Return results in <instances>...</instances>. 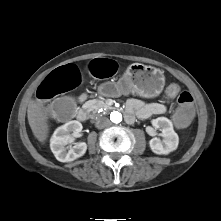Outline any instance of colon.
Wrapping results in <instances>:
<instances>
[{"instance_id": "colon-1", "label": "colon", "mask_w": 221, "mask_h": 221, "mask_svg": "<svg viewBox=\"0 0 221 221\" xmlns=\"http://www.w3.org/2000/svg\"><path fill=\"white\" fill-rule=\"evenodd\" d=\"M91 73L98 78L111 76L116 71V63L110 59L96 60L90 64ZM81 83V73L77 67L67 65L50 73L37 89L40 100H50L75 89ZM164 96L173 102L178 98V109L174 121L180 127L187 126L195 117L193 98L188 92H181L178 84H170ZM79 102L72 95H64L55 99L53 104H47L42 109V116L47 121L63 122L70 114L77 111Z\"/></svg>"}]
</instances>
